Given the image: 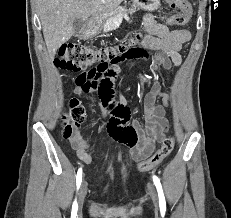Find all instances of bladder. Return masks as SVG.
I'll list each match as a JSON object with an SVG mask.
<instances>
[{
	"instance_id": "1",
	"label": "bladder",
	"mask_w": 231,
	"mask_h": 218,
	"mask_svg": "<svg viewBox=\"0 0 231 218\" xmlns=\"http://www.w3.org/2000/svg\"><path fill=\"white\" fill-rule=\"evenodd\" d=\"M114 189V184L111 180H107L103 185V193L110 194ZM126 190H122V194L126 195Z\"/></svg>"
}]
</instances>
